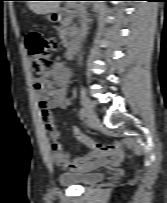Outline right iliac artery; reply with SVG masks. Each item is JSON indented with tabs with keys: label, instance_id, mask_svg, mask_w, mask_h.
I'll return each mask as SVG.
<instances>
[{
	"label": "right iliac artery",
	"instance_id": "82829eb1",
	"mask_svg": "<svg viewBox=\"0 0 167 203\" xmlns=\"http://www.w3.org/2000/svg\"><path fill=\"white\" fill-rule=\"evenodd\" d=\"M79 116H80V119H82V120H84L86 118V113H85L84 108L80 109Z\"/></svg>",
	"mask_w": 167,
	"mask_h": 203
}]
</instances>
